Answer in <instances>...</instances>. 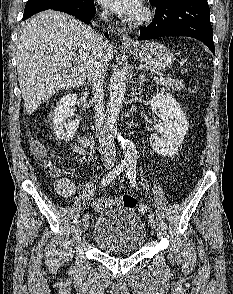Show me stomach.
<instances>
[{"mask_svg": "<svg viewBox=\"0 0 233 294\" xmlns=\"http://www.w3.org/2000/svg\"><path fill=\"white\" fill-rule=\"evenodd\" d=\"M131 52L137 60L159 71H166L174 62L172 52L158 42H145Z\"/></svg>", "mask_w": 233, "mask_h": 294, "instance_id": "0dacf381", "label": "stomach"}]
</instances>
